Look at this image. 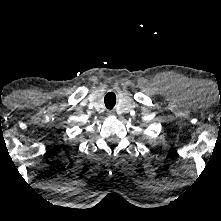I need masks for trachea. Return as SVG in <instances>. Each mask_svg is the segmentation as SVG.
<instances>
[{"mask_svg":"<svg viewBox=\"0 0 221 221\" xmlns=\"http://www.w3.org/2000/svg\"><path fill=\"white\" fill-rule=\"evenodd\" d=\"M104 103L107 109H112L116 104V96L113 92H109L104 97Z\"/></svg>","mask_w":221,"mask_h":221,"instance_id":"3493384b","label":"trachea"}]
</instances>
